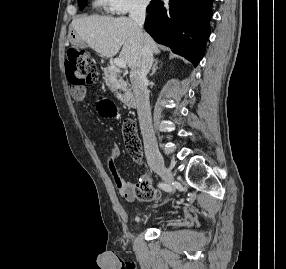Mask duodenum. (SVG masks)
<instances>
[{"instance_id": "1", "label": "duodenum", "mask_w": 286, "mask_h": 269, "mask_svg": "<svg viewBox=\"0 0 286 269\" xmlns=\"http://www.w3.org/2000/svg\"><path fill=\"white\" fill-rule=\"evenodd\" d=\"M123 104L131 109L137 108V100L135 95L131 91H125L122 97Z\"/></svg>"}]
</instances>
